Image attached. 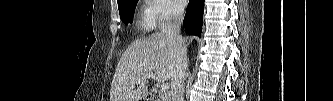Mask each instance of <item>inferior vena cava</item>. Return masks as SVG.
<instances>
[{
	"instance_id": "602c4592",
	"label": "inferior vena cava",
	"mask_w": 333,
	"mask_h": 101,
	"mask_svg": "<svg viewBox=\"0 0 333 101\" xmlns=\"http://www.w3.org/2000/svg\"><path fill=\"white\" fill-rule=\"evenodd\" d=\"M183 14V10L174 9L168 19L159 23V29L166 37L175 62L171 77L172 101H184L183 86L188 59L184 40L179 34L181 23L183 22Z\"/></svg>"
}]
</instances>
